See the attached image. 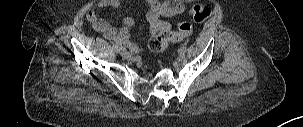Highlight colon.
I'll list each match as a JSON object with an SVG mask.
<instances>
[{
	"label": "colon",
	"mask_w": 303,
	"mask_h": 127,
	"mask_svg": "<svg viewBox=\"0 0 303 127\" xmlns=\"http://www.w3.org/2000/svg\"><path fill=\"white\" fill-rule=\"evenodd\" d=\"M211 11L208 7L200 4L193 5L190 15L195 22H204L210 17ZM192 27L188 22H181L178 25V32L163 31L149 40V48L153 51H163L170 43L183 40L191 33Z\"/></svg>",
	"instance_id": "1"
}]
</instances>
